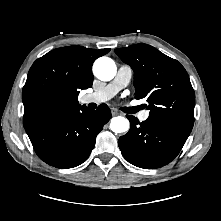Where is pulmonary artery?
<instances>
[{"instance_id":"e3ab8cb5","label":"pulmonary artery","mask_w":221,"mask_h":221,"mask_svg":"<svg viewBox=\"0 0 221 221\" xmlns=\"http://www.w3.org/2000/svg\"><path fill=\"white\" fill-rule=\"evenodd\" d=\"M132 77V69L128 65H121L117 71L115 78L105 87L95 92L89 93L83 97L84 103H102L110 100L121 89L125 88ZM149 111H144L140 114L141 121L147 120Z\"/></svg>"}]
</instances>
